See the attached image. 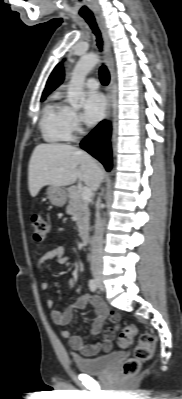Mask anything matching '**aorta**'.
<instances>
[{
	"label": "aorta",
	"instance_id": "1",
	"mask_svg": "<svg viewBox=\"0 0 182 399\" xmlns=\"http://www.w3.org/2000/svg\"><path fill=\"white\" fill-rule=\"evenodd\" d=\"M99 61L100 57L97 54H88L82 56L74 67L68 86V103L72 108L80 109L83 106L85 78Z\"/></svg>",
	"mask_w": 182,
	"mask_h": 399
}]
</instances>
